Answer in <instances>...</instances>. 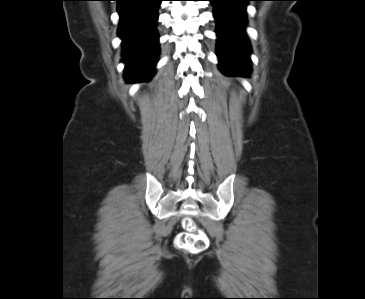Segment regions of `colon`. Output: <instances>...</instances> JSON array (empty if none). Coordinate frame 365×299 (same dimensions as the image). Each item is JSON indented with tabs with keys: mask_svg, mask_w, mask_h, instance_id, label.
<instances>
[{
	"mask_svg": "<svg viewBox=\"0 0 365 299\" xmlns=\"http://www.w3.org/2000/svg\"><path fill=\"white\" fill-rule=\"evenodd\" d=\"M183 226L185 232L176 238L177 248L190 253H200L204 251L209 245L207 234L199 229L195 222L190 218L184 220Z\"/></svg>",
	"mask_w": 365,
	"mask_h": 299,
	"instance_id": "5ec220e1",
	"label": "colon"
}]
</instances>
